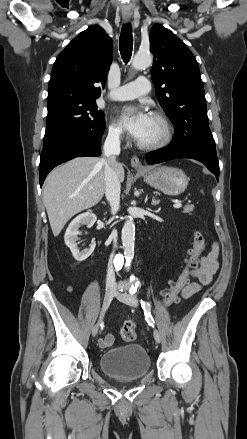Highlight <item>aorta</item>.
Returning <instances> with one entry per match:
<instances>
[{
    "mask_svg": "<svg viewBox=\"0 0 247 439\" xmlns=\"http://www.w3.org/2000/svg\"><path fill=\"white\" fill-rule=\"evenodd\" d=\"M152 64V56L149 53L138 52L132 60V67L137 70L145 69ZM122 243L124 249V256L127 265L134 256V241H135V225L131 217L125 221L122 228Z\"/></svg>",
    "mask_w": 247,
    "mask_h": 439,
    "instance_id": "1",
    "label": "aorta"
}]
</instances>
